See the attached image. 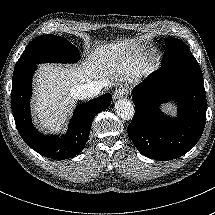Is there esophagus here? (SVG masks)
<instances>
[{
    "instance_id": "esophagus-1",
    "label": "esophagus",
    "mask_w": 215,
    "mask_h": 215,
    "mask_svg": "<svg viewBox=\"0 0 215 215\" xmlns=\"http://www.w3.org/2000/svg\"><path fill=\"white\" fill-rule=\"evenodd\" d=\"M123 97V91L122 90H116L114 93H113V98L114 100H117V99H120Z\"/></svg>"
}]
</instances>
